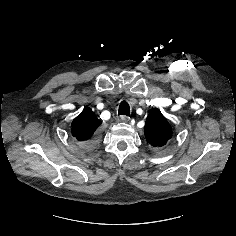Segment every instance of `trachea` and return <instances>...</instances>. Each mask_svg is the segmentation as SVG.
I'll use <instances>...</instances> for the list:
<instances>
[{
    "mask_svg": "<svg viewBox=\"0 0 236 236\" xmlns=\"http://www.w3.org/2000/svg\"><path fill=\"white\" fill-rule=\"evenodd\" d=\"M119 115H130V107L129 104L126 101H122L119 105V110H118Z\"/></svg>",
    "mask_w": 236,
    "mask_h": 236,
    "instance_id": "3493384b",
    "label": "trachea"
}]
</instances>
